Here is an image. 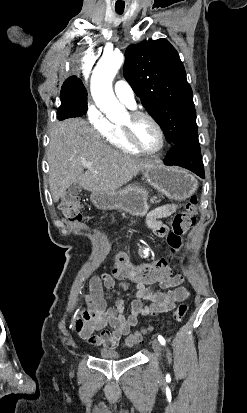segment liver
<instances>
[{
	"label": "liver",
	"mask_w": 247,
	"mask_h": 413,
	"mask_svg": "<svg viewBox=\"0 0 247 413\" xmlns=\"http://www.w3.org/2000/svg\"><path fill=\"white\" fill-rule=\"evenodd\" d=\"M81 160H91L93 164L84 170ZM48 162L54 202H58L73 182L92 192L117 190L152 164V160L137 158L106 144L84 118L55 122L50 134Z\"/></svg>",
	"instance_id": "6515ba94"
}]
</instances>
